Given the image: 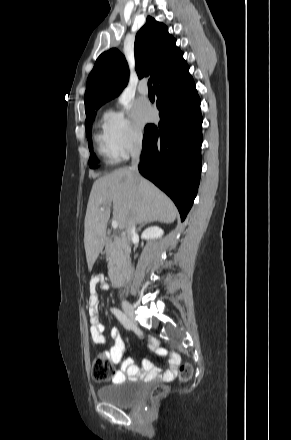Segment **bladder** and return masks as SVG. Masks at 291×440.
I'll return each instance as SVG.
<instances>
[{"mask_svg": "<svg viewBox=\"0 0 291 440\" xmlns=\"http://www.w3.org/2000/svg\"><path fill=\"white\" fill-rule=\"evenodd\" d=\"M141 384V382L135 380H121L100 387L96 391V396L102 402L112 403L118 407H130L141 397Z\"/></svg>", "mask_w": 291, "mask_h": 440, "instance_id": "1", "label": "bladder"}]
</instances>
